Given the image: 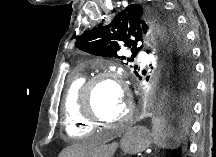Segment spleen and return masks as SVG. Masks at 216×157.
I'll use <instances>...</instances> for the list:
<instances>
[{"label": "spleen", "instance_id": "1", "mask_svg": "<svg viewBox=\"0 0 216 157\" xmlns=\"http://www.w3.org/2000/svg\"><path fill=\"white\" fill-rule=\"evenodd\" d=\"M152 137L157 147L162 149H176L180 144V135L177 134L168 121L161 117L152 119Z\"/></svg>", "mask_w": 216, "mask_h": 157}]
</instances>
